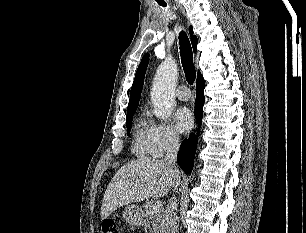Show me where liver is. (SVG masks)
Masks as SVG:
<instances>
[{
	"mask_svg": "<svg viewBox=\"0 0 306 233\" xmlns=\"http://www.w3.org/2000/svg\"><path fill=\"white\" fill-rule=\"evenodd\" d=\"M177 177L163 160L144 157L127 163L116 172L105 191L102 220L121 206L165 196Z\"/></svg>",
	"mask_w": 306,
	"mask_h": 233,
	"instance_id": "1",
	"label": "liver"
}]
</instances>
